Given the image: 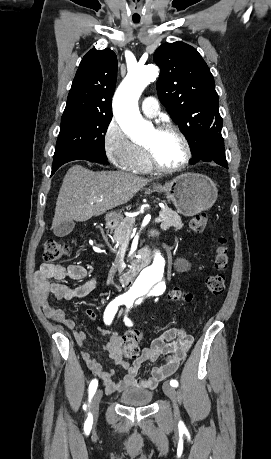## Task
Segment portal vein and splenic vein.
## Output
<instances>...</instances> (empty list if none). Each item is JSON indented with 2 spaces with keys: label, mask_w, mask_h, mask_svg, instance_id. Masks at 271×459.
<instances>
[{
  "label": "portal vein and splenic vein",
  "mask_w": 271,
  "mask_h": 459,
  "mask_svg": "<svg viewBox=\"0 0 271 459\" xmlns=\"http://www.w3.org/2000/svg\"><path fill=\"white\" fill-rule=\"evenodd\" d=\"M156 221H157V224H160L161 220L159 216L156 217Z\"/></svg>",
  "instance_id": "1"
}]
</instances>
